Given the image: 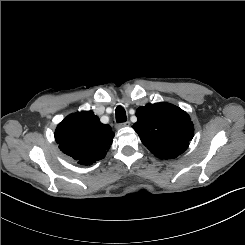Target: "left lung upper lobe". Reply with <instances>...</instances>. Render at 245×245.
Returning a JSON list of instances; mask_svg holds the SVG:
<instances>
[{"instance_id":"left-lung-upper-lobe-1","label":"left lung upper lobe","mask_w":245,"mask_h":245,"mask_svg":"<svg viewBox=\"0 0 245 245\" xmlns=\"http://www.w3.org/2000/svg\"><path fill=\"white\" fill-rule=\"evenodd\" d=\"M133 125L142 143L160 159H173L183 153L193 138L189 115L166 102L147 104L136 110Z\"/></svg>"}]
</instances>
